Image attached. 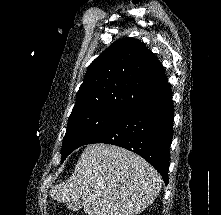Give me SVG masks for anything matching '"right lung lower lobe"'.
<instances>
[{
  "instance_id": "obj_1",
  "label": "right lung lower lobe",
  "mask_w": 221,
  "mask_h": 215,
  "mask_svg": "<svg viewBox=\"0 0 221 215\" xmlns=\"http://www.w3.org/2000/svg\"><path fill=\"white\" fill-rule=\"evenodd\" d=\"M174 106L169 84L121 115L86 144L106 143L133 151L148 161L168 183L169 147Z\"/></svg>"
}]
</instances>
